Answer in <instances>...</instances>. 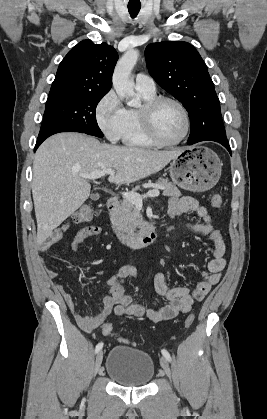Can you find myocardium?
I'll list each match as a JSON object with an SVG mask.
<instances>
[{
    "label": "myocardium",
    "mask_w": 267,
    "mask_h": 419,
    "mask_svg": "<svg viewBox=\"0 0 267 419\" xmlns=\"http://www.w3.org/2000/svg\"><path fill=\"white\" fill-rule=\"evenodd\" d=\"M165 102L175 104L182 112L184 117V131L182 135L174 141H165L157 133L154 123L155 113L158 107ZM140 118L143 130L147 137L158 146L170 147L176 146L185 140L190 130V116L184 104L176 98L170 96H156L146 102L140 108Z\"/></svg>",
    "instance_id": "f54148a6"
}]
</instances>
